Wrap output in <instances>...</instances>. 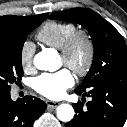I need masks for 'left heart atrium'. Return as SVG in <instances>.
I'll return each mask as SVG.
<instances>
[{
	"mask_svg": "<svg viewBox=\"0 0 127 127\" xmlns=\"http://www.w3.org/2000/svg\"><path fill=\"white\" fill-rule=\"evenodd\" d=\"M73 84L74 77L68 69H62L55 73H44L35 78L33 82L34 89L50 99L61 98Z\"/></svg>",
	"mask_w": 127,
	"mask_h": 127,
	"instance_id": "1",
	"label": "left heart atrium"
}]
</instances>
